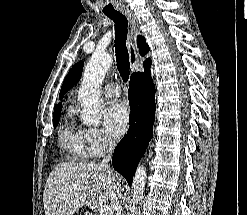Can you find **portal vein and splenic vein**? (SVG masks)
<instances>
[{"mask_svg": "<svg viewBox=\"0 0 247 215\" xmlns=\"http://www.w3.org/2000/svg\"><path fill=\"white\" fill-rule=\"evenodd\" d=\"M99 215H112V209L109 206H101L99 208Z\"/></svg>", "mask_w": 247, "mask_h": 215, "instance_id": "18ae733b", "label": "portal vein and splenic vein"}]
</instances>
